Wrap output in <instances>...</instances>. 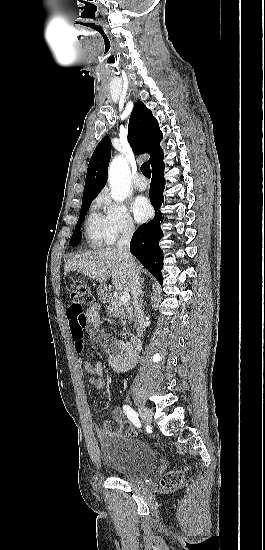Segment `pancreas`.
<instances>
[{"label":"pancreas","instance_id":"obj_1","mask_svg":"<svg viewBox=\"0 0 265 550\" xmlns=\"http://www.w3.org/2000/svg\"><path fill=\"white\" fill-rule=\"evenodd\" d=\"M107 313L112 317L119 318L123 325L131 323L134 317L132 305L129 302L123 303L119 297H115L109 302Z\"/></svg>","mask_w":265,"mask_h":550}]
</instances>
